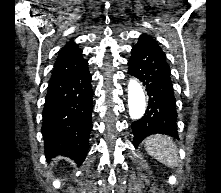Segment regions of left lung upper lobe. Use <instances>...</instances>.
<instances>
[{"label": "left lung upper lobe", "mask_w": 221, "mask_h": 193, "mask_svg": "<svg viewBox=\"0 0 221 193\" xmlns=\"http://www.w3.org/2000/svg\"><path fill=\"white\" fill-rule=\"evenodd\" d=\"M139 41H143V42L150 43V44L156 46L157 48H159V49L161 50V48L159 47L157 41H156L155 39H153V37L150 36V35L142 34V35L139 37Z\"/></svg>", "instance_id": "5c2ea615"}]
</instances>
